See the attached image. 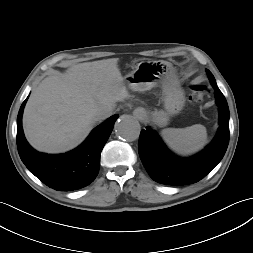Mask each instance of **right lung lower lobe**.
<instances>
[{
	"label": "right lung lower lobe",
	"mask_w": 253,
	"mask_h": 253,
	"mask_svg": "<svg viewBox=\"0 0 253 253\" xmlns=\"http://www.w3.org/2000/svg\"><path fill=\"white\" fill-rule=\"evenodd\" d=\"M27 99L17 117V148L28 170L44 184L59 191L77 190L93 182L100 169L101 151L119 116L106 119L76 149L65 154L48 155L34 150L25 139L22 114Z\"/></svg>",
	"instance_id": "1"
}]
</instances>
